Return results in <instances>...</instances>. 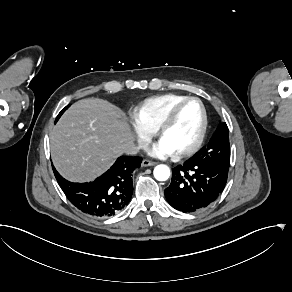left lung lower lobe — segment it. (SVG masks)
Segmentation results:
<instances>
[{
  "instance_id": "0a47b994",
  "label": "left lung lower lobe",
  "mask_w": 292,
  "mask_h": 292,
  "mask_svg": "<svg viewBox=\"0 0 292 292\" xmlns=\"http://www.w3.org/2000/svg\"><path fill=\"white\" fill-rule=\"evenodd\" d=\"M229 164L191 157L173 169L171 183L164 191L167 202L184 213L206 208L223 191Z\"/></svg>"
}]
</instances>
